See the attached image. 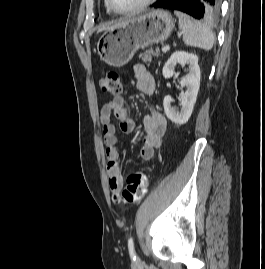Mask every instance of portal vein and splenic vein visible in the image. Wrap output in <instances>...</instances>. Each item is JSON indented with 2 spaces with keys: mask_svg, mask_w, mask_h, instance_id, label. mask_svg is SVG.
<instances>
[{
  "mask_svg": "<svg viewBox=\"0 0 265 269\" xmlns=\"http://www.w3.org/2000/svg\"><path fill=\"white\" fill-rule=\"evenodd\" d=\"M169 50V46L162 47V52H167Z\"/></svg>",
  "mask_w": 265,
  "mask_h": 269,
  "instance_id": "1",
  "label": "portal vein and splenic vein"
}]
</instances>
